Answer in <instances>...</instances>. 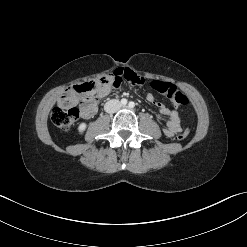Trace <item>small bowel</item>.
Listing matches in <instances>:
<instances>
[{
    "instance_id": "1",
    "label": "small bowel",
    "mask_w": 247,
    "mask_h": 247,
    "mask_svg": "<svg viewBox=\"0 0 247 247\" xmlns=\"http://www.w3.org/2000/svg\"><path fill=\"white\" fill-rule=\"evenodd\" d=\"M113 75L116 77H119L122 79H129L131 77H136L137 75L130 70L129 68H118L113 72ZM117 89V87H114L112 84H107L102 86L97 95L99 97H105L113 90ZM146 99L150 103H155L157 107L159 108V113L162 116L168 117L166 126L164 128V134L167 137H173L176 133H178L181 130V119L178 111L169 109L165 105L159 102H155V97L153 94L148 93L146 95ZM97 112V104H93L92 106H87L84 102L81 103V114L83 118L89 119L93 117Z\"/></svg>"
}]
</instances>
